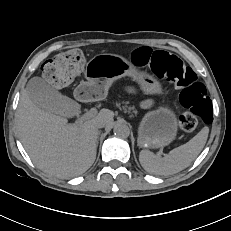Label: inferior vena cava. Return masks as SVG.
<instances>
[{
	"mask_svg": "<svg viewBox=\"0 0 231 231\" xmlns=\"http://www.w3.org/2000/svg\"><path fill=\"white\" fill-rule=\"evenodd\" d=\"M105 126V124L104 123H99L98 125H97V128H103Z\"/></svg>",
	"mask_w": 231,
	"mask_h": 231,
	"instance_id": "obj_1",
	"label": "inferior vena cava"
}]
</instances>
